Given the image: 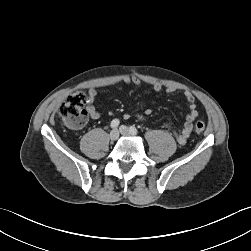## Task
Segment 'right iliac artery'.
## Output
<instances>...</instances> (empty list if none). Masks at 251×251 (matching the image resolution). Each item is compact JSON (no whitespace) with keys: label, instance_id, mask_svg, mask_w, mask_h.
Wrapping results in <instances>:
<instances>
[{"label":"right iliac artery","instance_id":"right-iliac-artery-1","mask_svg":"<svg viewBox=\"0 0 251 251\" xmlns=\"http://www.w3.org/2000/svg\"><path fill=\"white\" fill-rule=\"evenodd\" d=\"M119 120L118 119H113L112 121H111V127L112 128H117L118 127V125H119Z\"/></svg>","mask_w":251,"mask_h":251}]
</instances>
